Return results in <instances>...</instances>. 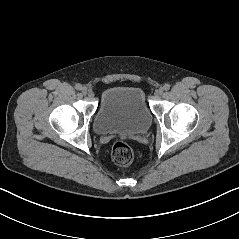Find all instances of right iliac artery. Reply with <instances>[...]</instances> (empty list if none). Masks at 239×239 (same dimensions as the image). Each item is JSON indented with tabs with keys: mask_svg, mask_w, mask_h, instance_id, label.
<instances>
[{
	"mask_svg": "<svg viewBox=\"0 0 239 239\" xmlns=\"http://www.w3.org/2000/svg\"><path fill=\"white\" fill-rule=\"evenodd\" d=\"M75 88H76V90H81L82 89V85L78 83V84L75 85Z\"/></svg>",
	"mask_w": 239,
	"mask_h": 239,
	"instance_id": "right-iliac-artery-1",
	"label": "right iliac artery"
}]
</instances>
